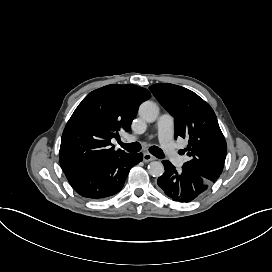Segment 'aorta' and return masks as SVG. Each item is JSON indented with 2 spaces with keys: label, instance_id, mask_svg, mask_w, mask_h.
Returning <instances> with one entry per match:
<instances>
[{
  "label": "aorta",
  "instance_id": "1",
  "mask_svg": "<svg viewBox=\"0 0 272 272\" xmlns=\"http://www.w3.org/2000/svg\"><path fill=\"white\" fill-rule=\"evenodd\" d=\"M159 107L153 101H146L140 105L139 115L148 123H153L159 116ZM148 172L153 177H160L164 173V166L160 161H151L148 164Z\"/></svg>",
  "mask_w": 272,
  "mask_h": 272
}]
</instances>
